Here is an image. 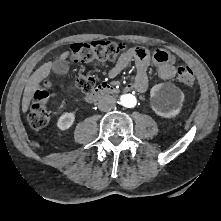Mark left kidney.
<instances>
[{"label": "left kidney", "mask_w": 221, "mask_h": 221, "mask_svg": "<svg viewBox=\"0 0 221 221\" xmlns=\"http://www.w3.org/2000/svg\"><path fill=\"white\" fill-rule=\"evenodd\" d=\"M152 108L164 118H172L180 113L184 101L183 92L169 83L154 85L151 89Z\"/></svg>", "instance_id": "5707ae66"}]
</instances>
